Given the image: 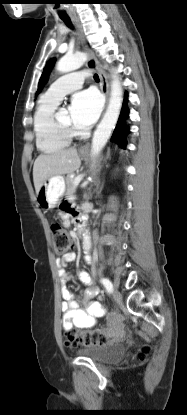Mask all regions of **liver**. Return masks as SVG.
Returning a JSON list of instances; mask_svg holds the SVG:
<instances>
[{"instance_id": "obj_1", "label": "liver", "mask_w": 187, "mask_h": 415, "mask_svg": "<svg viewBox=\"0 0 187 415\" xmlns=\"http://www.w3.org/2000/svg\"><path fill=\"white\" fill-rule=\"evenodd\" d=\"M80 165L81 160L75 148L39 155L33 166V181L36 194L48 178L72 173Z\"/></svg>"}]
</instances>
